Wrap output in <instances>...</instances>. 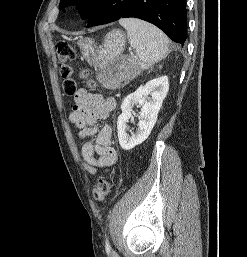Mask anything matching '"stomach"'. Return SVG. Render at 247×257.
<instances>
[{
    "mask_svg": "<svg viewBox=\"0 0 247 257\" xmlns=\"http://www.w3.org/2000/svg\"><path fill=\"white\" fill-rule=\"evenodd\" d=\"M126 36L121 30H112L106 35L102 45H98L91 38L78 40L81 53L86 61L95 67H103L110 61L123 58ZM137 69V63L125 60L117 66V85L132 78Z\"/></svg>",
    "mask_w": 247,
    "mask_h": 257,
    "instance_id": "obj_1",
    "label": "stomach"
}]
</instances>
